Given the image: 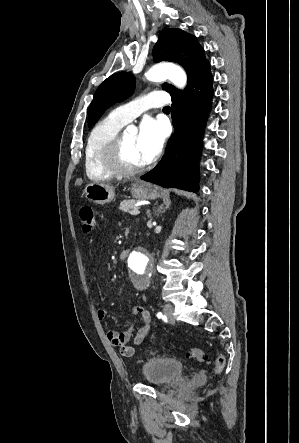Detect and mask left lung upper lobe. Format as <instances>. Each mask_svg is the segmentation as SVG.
Wrapping results in <instances>:
<instances>
[{
	"label": "left lung upper lobe",
	"instance_id": "5c2ea615",
	"mask_svg": "<svg viewBox=\"0 0 299 443\" xmlns=\"http://www.w3.org/2000/svg\"><path fill=\"white\" fill-rule=\"evenodd\" d=\"M154 61H172L186 70L188 83L198 70L208 61L196 37L180 29H164L153 49ZM135 79L129 72H119L108 77L95 92L90 104L88 126H92L104 113L115 104L126 99L134 90ZM162 88L171 96L181 92L174 86L164 83Z\"/></svg>",
	"mask_w": 299,
	"mask_h": 443
}]
</instances>
